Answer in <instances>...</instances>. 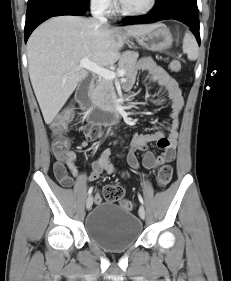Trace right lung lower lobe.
Instances as JSON below:
<instances>
[{
  "mask_svg": "<svg viewBox=\"0 0 231 281\" xmlns=\"http://www.w3.org/2000/svg\"><path fill=\"white\" fill-rule=\"evenodd\" d=\"M89 0H29L25 23V42L33 30L53 16L84 15Z\"/></svg>",
  "mask_w": 231,
  "mask_h": 281,
  "instance_id": "1",
  "label": "right lung lower lobe"
}]
</instances>
